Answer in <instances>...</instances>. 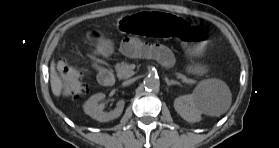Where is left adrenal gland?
<instances>
[{"label": "left adrenal gland", "instance_id": "left-adrenal-gland-1", "mask_svg": "<svg viewBox=\"0 0 279 148\" xmlns=\"http://www.w3.org/2000/svg\"><path fill=\"white\" fill-rule=\"evenodd\" d=\"M165 82H166L167 86H171V85H180L179 82L174 81V80H169L167 77H165Z\"/></svg>", "mask_w": 279, "mask_h": 148}]
</instances>
